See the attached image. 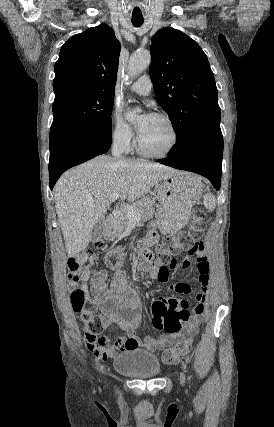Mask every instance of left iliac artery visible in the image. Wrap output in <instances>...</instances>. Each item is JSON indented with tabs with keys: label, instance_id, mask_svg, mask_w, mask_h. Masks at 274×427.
<instances>
[{
	"label": "left iliac artery",
	"instance_id": "44dca946",
	"mask_svg": "<svg viewBox=\"0 0 274 427\" xmlns=\"http://www.w3.org/2000/svg\"><path fill=\"white\" fill-rule=\"evenodd\" d=\"M185 369H186V366H185ZM187 371V370H186ZM188 380H190V377L188 376Z\"/></svg>",
	"mask_w": 274,
	"mask_h": 427
}]
</instances>
